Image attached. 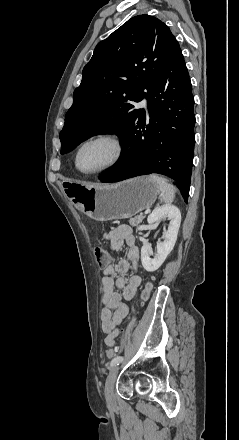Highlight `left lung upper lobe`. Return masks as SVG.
<instances>
[{
  "mask_svg": "<svg viewBox=\"0 0 239 440\" xmlns=\"http://www.w3.org/2000/svg\"><path fill=\"white\" fill-rule=\"evenodd\" d=\"M177 43L165 23L146 14L98 43L59 134L61 154L94 135L120 137L138 113L132 102L145 97Z\"/></svg>",
  "mask_w": 239,
  "mask_h": 440,
  "instance_id": "1",
  "label": "left lung upper lobe"
}]
</instances>
